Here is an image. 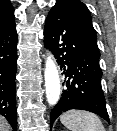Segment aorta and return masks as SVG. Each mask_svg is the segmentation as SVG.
I'll return each instance as SVG.
<instances>
[{
  "label": "aorta",
  "instance_id": "762f6f07",
  "mask_svg": "<svg viewBox=\"0 0 117 131\" xmlns=\"http://www.w3.org/2000/svg\"><path fill=\"white\" fill-rule=\"evenodd\" d=\"M44 78L47 102L56 105L60 99L61 85L57 66L50 54L46 59Z\"/></svg>",
  "mask_w": 117,
  "mask_h": 131
}]
</instances>
